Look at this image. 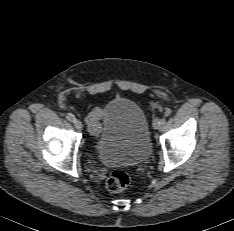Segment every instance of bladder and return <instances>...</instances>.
<instances>
[{"label":"bladder","mask_w":234,"mask_h":231,"mask_svg":"<svg viewBox=\"0 0 234 231\" xmlns=\"http://www.w3.org/2000/svg\"><path fill=\"white\" fill-rule=\"evenodd\" d=\"M98 145L99 160L107 166H136L149 158V124L136 101L120 97L107 106Z\"/></svg>","instance_id":"1"}]
</instances>
